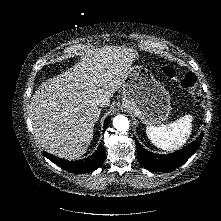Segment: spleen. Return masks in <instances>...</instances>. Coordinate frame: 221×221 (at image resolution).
<instances>
[{
	"instance_id": "1",
	"label": "spleen",
	"mask_w": 221,
	"mask_h": 221,
	"mask_svg": "<svg viewBox=\"0 0 221 221\" xmlns=\"http://www.w3.org/2000/svg\"><path fill=\"white\" fill-rule=\"evenodd\" d=\"M192 120V115H185L168 125L147 127L146 134L158 148L174 150L186 143L190 137Z\"/></svg>"
}]
</instances>
